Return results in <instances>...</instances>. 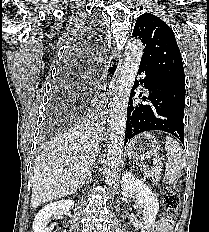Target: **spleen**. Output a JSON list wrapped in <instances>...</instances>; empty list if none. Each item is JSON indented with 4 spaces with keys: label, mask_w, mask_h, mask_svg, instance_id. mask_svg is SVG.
Instances as JSON below:
<instances>
[{
    "label": "spleen",
    "mask_w": 209,
    "mask_h": 232,
    "mask_svg": "<svg viewBox=\"0 0 209 232\" xmlns=\"http://www.w3.org/2000/svg\"><path fill=\"white\" fill-rule=\"evenodd\" d=\"M165 150L168 152L169 160L166 164L164 182L173 184L181 177V170L186 164V157L181 145L172 137H166Z\"/></svg>",
    "instance_id": "obj_1"
}]
</instances>
